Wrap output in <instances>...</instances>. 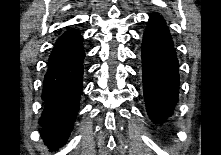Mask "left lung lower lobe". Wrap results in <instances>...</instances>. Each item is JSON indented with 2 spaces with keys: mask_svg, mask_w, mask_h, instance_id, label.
I'll list each match as a JSON object with an SVG mask.
<instances>
[{
  "mask_svg": "<svg viewBox=\"0 0 221 155\" xmlns=\"http://www.w3.org/2000/svg\"><path fill=\"white\" fill-rule=\"evenodd\" d=\"M142 64L147 112L154 123L162 124L178 101L179 70L166 22L155 13L144 32Z\"/></svg>",
  "mask_w": 221,
  "mask_h": 155,
  "instance_id": "0a47b994",
  "label": "left lung lower lobe"
}]
</instances>
